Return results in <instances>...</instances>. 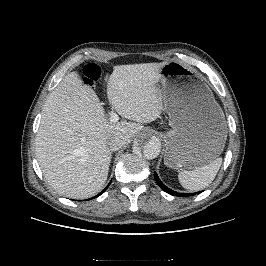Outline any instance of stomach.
Masks as SVG:
<instances>
[{
  "label": "stomach",
  "instance_id": "0dacf381",
  "mask_svg": "<svg viewBox=\"0 0 266 266\" xmlns=\"http://www.w3.org/2000/svg\"><path fill=\"white\" fill-rule=\"evenodd\" d=\"M163 108L171 130L164 134V163L174 170L204 166L223 151L224 113L212 91L192 68L168 62L160 70Z\"/></svg>",
  "mask_w": 266,
  "mask_h": 266
}]
</instances>
